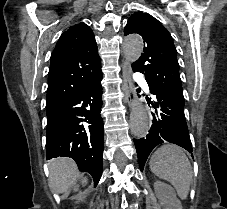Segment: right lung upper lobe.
Returning a JSON list of instances; mask_svg holds the SVG:
<instances>
[{"label":"right lung upper lobe","mask_w":227,"mask_h":209,"mask_svg":"<svg viewBox=\"0 0 227 209\" xmlns=\"http://www.w3.org/2000/svg\"><path fill=\"white\" fill-rule=\"evenodd\" d=\"M85 68V73L78 70ZM101 72L94 33L84 23L71 26L59 38L51 55L46 109L81 89Z\"/></svg>","instance_id":"right-lung-upper-lobe-1"}]
</instances>
